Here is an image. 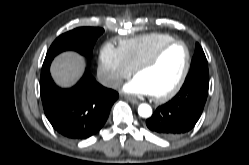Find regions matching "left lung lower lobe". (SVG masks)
<instances>
[{
    "instance_id": "left-lung-lower-lobe-1",
    "label": "left lung lower lobe",
    "mask_w": 249,
    "mask_h": 165,
    "mask_svg": "<svg viewBox=\"0 0 249 165\" xmlns=\"http://www.w3.org/2000/svg\"><path fill=\"white\" fill-rule=\"evenodd\" d=\"M209 89V77L185 80L175 97L159 106L146 120L147 127L162 138H176L190 131L199 120Z\"/></svg>"
}]
</instances>
